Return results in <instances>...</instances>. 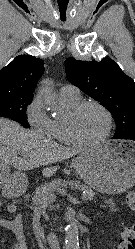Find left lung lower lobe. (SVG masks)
<instances>
[{
	"label": "left lung lower lobe",
	"mask_w": 135,
	"mask_h": 249,
	"mask_svg": "<svg viewBox=\"0 0 135 249\" xmlns=\"http://www.w3.org/2000/svg\"><path fill=\"white\" fill-rule=\"evenodd\" d=\"M121 139H130V140H134L135 141V132H132V133L126 135L124 138H121Z\"/></svg>",
	"instance_id": "0a47b994"
}]
</instances>
